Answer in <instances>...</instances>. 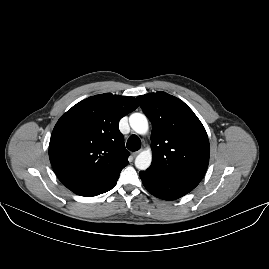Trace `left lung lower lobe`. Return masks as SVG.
<instances>
[{
    "label": "left lung lower lobe",
    "instance_id": "1",
    "mask_svg": "<svg viewBox=\"0 0 269 269\" xmlns=\"http://www.w3.org/2000/svg\"><path fill=\"white\" fill-rule=\"evenodd\" d=\"M145 188L154 196L164 200L178 199L192 191L199 183L169 177L148 170L139 173Z\"/></svg>",
    "mask_w": 269,
    "mask_h": 269
}]
</instances>
